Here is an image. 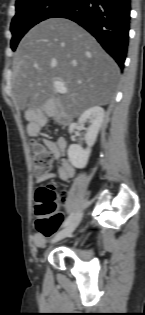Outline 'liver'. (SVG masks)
I'll use <instances>...</instances> for the list:
<instances>
[{
  "label": "liver",
  "instance_id": "liver-1",
  "mask_svg": "<svg viewBox=\"0 0 145 315\" xmlns=\"http://www.w3.org/2000/svg\"><path fill=\"white\" fill-rule=\"evenodd\" d=\"M120 70L96 39L78 24L50 18L33 27L21 40L13 59L11 96L31 121L37 108L71 121L114 96ZM54 81L68 89L55 97Z\"/></svg>",
  "mask_w": 145,
  "mask_h": 315
}]
</instances>
